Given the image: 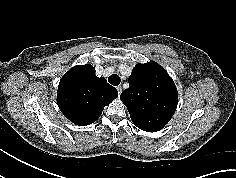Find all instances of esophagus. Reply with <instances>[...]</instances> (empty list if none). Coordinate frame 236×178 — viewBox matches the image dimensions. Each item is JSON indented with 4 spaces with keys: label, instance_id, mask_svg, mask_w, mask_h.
<instances>
[{
    "label": "esophagus",
    "instance_id": "esophagus-1",
    "mask_svg": "<svg viewBox=\"0 0 236 178\" xmlns=\"http://www.w3.org/2000/svg\"><path fill=\"white\" fill-rule=\"evenodd\" d=\"M117 91H118V94L120 95L121 94V92H122V87L119 85V86H117Z\"/></svg>",
    "mask_w": 236,
    "mask_h": 178
}]
</instances>
